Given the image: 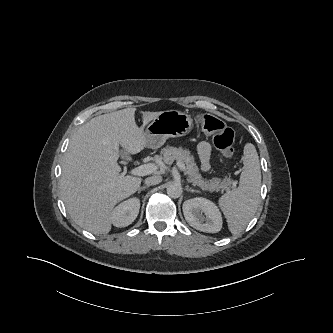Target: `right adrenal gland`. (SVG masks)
Masks as SVG:
<instances>
[{"label": "right adrenal gland", "instance_id": "2a0ac1e0", "mask_svg": "<svg viewBox=\"0 0 333 333\" xmlns=\"http://www.w3.org/2000/svg\"><path fill=\"white\" fill-rule=\"evenodd\" d=\"M147 188H149L148 185L143 186V187H140V188L138 189V193H140L142 190H145V189H147Z\"/></svg>", "mask_w": 333, "mask_h": 333}]
</instances>
